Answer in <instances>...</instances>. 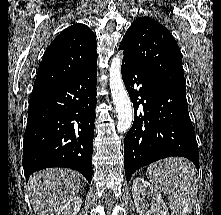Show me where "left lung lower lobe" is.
<instances>
[{"mask_svg": "<svg viewBox=\"0 0 221 215\" xmlns=\"http://www.w3.org/2000/svg\"><path fill=\"white\" fill-rule=\"evenodd\" d=\"M121 72L135 113L124 141L127 181L136 169L170 156L186 157L199 169L198 145L185 91L138 69L125 59Z\"/></svg>", "mask_w": 221, "mask_h": 215, "instance_id": "obj_1", "label": "left lung lower lobe"}]
</instances>
